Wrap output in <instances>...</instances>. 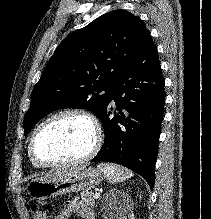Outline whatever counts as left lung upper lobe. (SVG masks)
Listing matches in <instances>:
<instances>
[{
    "mask_svg": "<svg viewBox=\"0 0 211 219\" xmlns=\"http://www.w3.org/2000/svg\"><path fill=\"white\" fill-rule=\"evenodd\" d=\"M149 37L141 19L121 9L70 34L56 48L32 91L23 122L25 134L61 108L86 109L99 118L112 86Z\"/></svg>",
    "mask_w": 211,
    "mask_h": 219,
    "instance_id": "5c2ea615",
    "label": "left lung upper lobe"
}]
</instances>
